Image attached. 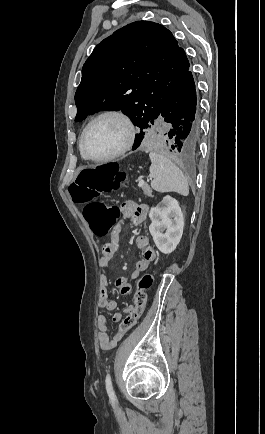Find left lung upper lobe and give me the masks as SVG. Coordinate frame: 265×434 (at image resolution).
Masks as SVG:
<instances>
[{
    "label": "left lung upper lobe",
    "instance_id": "5c2ea615",
    "mask_svg": "<svg viewBox=\"0 0 265 434\" xmlns=\"http://www.w3.org/2000/svg\"><path fill=\"white\" fill-rule=\"evenodd\" d=\"M189 66L185 51L164 26L131 23L98 44L84 63L75 121L121 110L134 125L148 128Z\"/></svg>",
    "mask_w": 265,
    "mask_h": 434
}]
</instances>
